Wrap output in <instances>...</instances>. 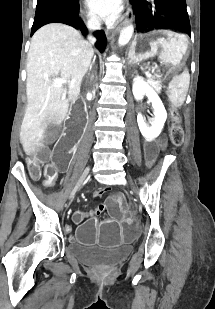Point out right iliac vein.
<instances>
[{"label": "right iliac vein", "mask_w": 215, "mask_h": 309, "mask_svg": "<svg viewBox=\"0 0 215 309\" xmlns=\"http://www.w3.org/2000/svg\"><path fill=\"white\" fill-rule=\"evenodd\" d=\"M88 172H89V169L86 168V169L84 170L82 176H81L80 181L76 184L75 188H74V189L72 190V192L70 193L69 199H71L72 197H74L76 191L80 188V186H81L83 180L86 178Z\"/></svg>", "instance_id": "1"}]
</instances>
